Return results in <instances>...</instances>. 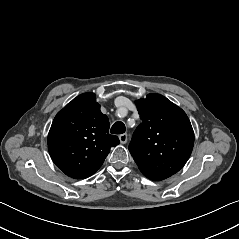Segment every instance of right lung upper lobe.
Masks as SVG:
<instances>
[{
	"label": "right lung upper lobe",
	"mask_w": 239,
	"mask_h": 239,
	"mask_svg": "<svg viewBox=\"0 0 239 239\" xmlns=\"http://www.w3.org/2000/svg\"><path fill=\"white\" fill-rule=\"evenodd\" d=\"M109 121L94 93L73 99L55 116L48 134L53 162L66 175L85 179L103 164L110 148L120 143L109 134Z\"/></svg>",
	"instance_id": "right-lung-upper-lobe-1"
}]
</instances>
